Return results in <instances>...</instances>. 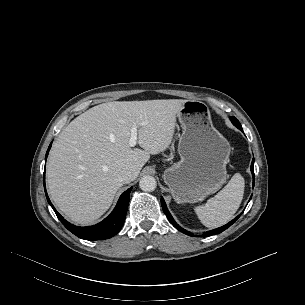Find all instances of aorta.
<instances>
[{
    "instance_id": "1",
    "label": "aorta",
    "mask_w": 305,
    "mask_h": 305,
    "mask_svg": "<svg viewBox=\"0 0 305 305\" xmlns=\"http://www.w3.org/2000/svg\"><path fill=\"white\" fill-rule=\"evenodd\" d=\"M139 186L141 190L151 192L155 190L157 183L153 176L146 175L140 179Z\"/></svg>"
}]
</instances>
